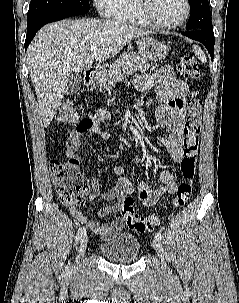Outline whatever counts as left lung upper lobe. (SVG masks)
<instances>
[{
    "instance_id": "1",
    "label": "left lung upper lobe",
    "mask_w": 239,
    "mask_h": 303,
    "mask_svg": "<svg viewBox=\"0 0 239 303\" xmlns=\"http://www.w3.org/2000/svg\"><path fill=\"white\" fill-rule=\"evenodd\" d=\"M190 18L186 27L189 30H213L208 0H188Z\"/></svg>"
}]
</instances>
